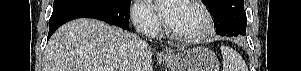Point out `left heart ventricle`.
Returning <instances> with one entry per match:
<instances>
[{
  "label": "left heart ventricle",
  "instance_id": "b2bd125f",
  "mask_svg": "<svg viewBox=\"0 0 301 71\" xmlns=\"http://www.w3.org/2000/svg\"><path fill=\"white\" fill-rule=\"evenodd\" d=\"M169 26L178 33L193 35L203 27V19L194 8L180 2L176 16Z\"/></svg>",
  "mask_w": 301,
  "mask_h": 71
}]
</instances>
